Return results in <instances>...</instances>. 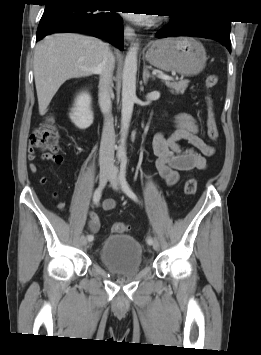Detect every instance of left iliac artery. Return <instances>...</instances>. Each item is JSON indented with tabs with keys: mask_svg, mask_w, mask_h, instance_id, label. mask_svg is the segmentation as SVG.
Here are the masks:
<instances>
[{
	"mask_svg": "<svg viewBox=\"0 0 261 355\" xmlns=\"http://www.w3.org/2000/svg\"><path fill=\"white\" fill-rule=\"evenodd\" d=\"M126 164H127V159L124 156V157H122L121 165H120V181H121L122 189L128 197H130L132 200L137 202L138 201L137 196L131 190L130 186L128 185V183L126 181ZM153 241L154 240L151 237L147 238V243L149 245H152Z\"/></svg>",
	"mask_w": 261,
	"mask_h": 355,
	"instance_id": "obj_1",
	"label": "left iliac artery"
}]
</instances>
